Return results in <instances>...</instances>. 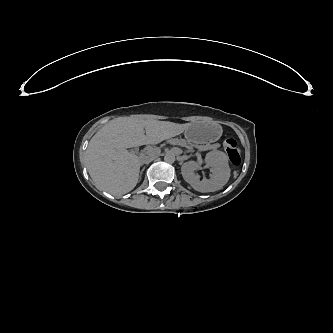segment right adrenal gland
<instances>
[{
  "instance_id": "2a0ac1e0",
  "label": "right adrenal gland",
  "mask_w": 333,
  "mask_h": 333,
  "mask_svg": "<svg viewBox=\"0 0 333 333\" xmlns=\"http://www.w3.org/2000/svg\"><path fill=\"white\" fill-rule=\"evenodd\" d=\"M141 175H142V171H141V173H140V178H141Z\"/></svg>"
}]
</instances>
